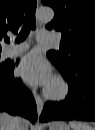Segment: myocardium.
Masks as SVG:
<instances>
[{
    "instance_id": "myocardium-1",
    "label": "myocardium",
    "mask_w": 95,
    "mask_h": 130,
    "mask_svg": "<svg viewBox=\"0 0 95 130\" xmlns=\"http://www.w3.org/2000/svg\"><path fill=\"white\" fill-rule=\"evenodd\" d=\"M52 85H56L57 89L52 90L51 88ZM68 94H69V84L61 76H54L44 90V96L47 99L54 101L64 100L68 96Z\"/></svg>"
}]
</instances>
